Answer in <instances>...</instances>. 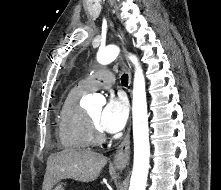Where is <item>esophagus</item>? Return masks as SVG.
<instances>
[{
	"label": "esophagus",
	"instance_id": "34e87169",
	"mask_svg": "<svg viewBox=\"0 0 221 190\" xmlns=\"http://www.w3.org/2000/svg\"><path fill=\"white\" fill-rule=\"evenodd\" d=\"M118 34L119 37L122 41V47L123 50L126 51L125 48V43H124V35L121 29H118ZM127 68H128V74H129V82H131V77H132V69H131V64L127 60ZM130 158V127L127 130V134L125 135L123 141L119 145L115 156H114V165L117 169H123L126 167L128 161Z\"/></svg>",
	"mask_w": 221,
	"mask_h": 190
}]
</instances>
